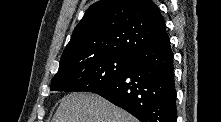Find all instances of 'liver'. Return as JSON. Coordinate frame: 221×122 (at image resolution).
I'll use <instances>...</instances> for the list:
<instances>
[{"label":"liver","mask_w":221,"mask_h":122,"mask_svg":"<svg viewBox=\"0 0 221 122\" xmlns=\"http://www.w3.org/2000/svg\"><path fill=\"white\" fill-rule=\"evenodd\" d=\"M52 122H137L131 114L93 93L63 97Z\"/></svg>","instance_id":"liver-1"}]
</instances>
